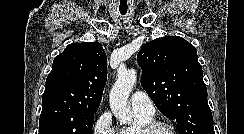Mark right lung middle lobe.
Instances as JSON below:
<instances>
[{"label": "right lung middle lobe", "instance_id": "dd1d6c3e", "mask_svg": "<svg viewBox=\"0 0 244 134\" xmlns=\"http://www.w3.org/2000/svg\"><path fill=\"white\" fill-rule=\"evenodd\" d=\"M96 111L59 101L44 103L39 134H91Z\"/></svg>", "mask_w": 244, "mask_h": 134}]
</instances>
